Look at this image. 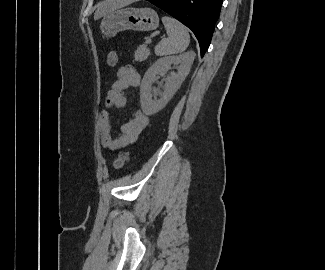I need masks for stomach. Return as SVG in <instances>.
Instances as JSON below:
<instances>
[{
	"label": "stomach",
	"instance_id": "1",
	"mask_svg": "<svg viewBox=\"0 0 325 270\" xmlns=\"http://www.w3.org/2000/svg\"><path fill=\"white\" fill-rule=\"evenodd\" d=\"M159 17L150 8L118 9L104 16L100 29L104 36L114 37L124 30L151 31L158 27Z\"/></svg>",
	"mask_w": 325,
	"mask_h": 270
}]
</instances>
